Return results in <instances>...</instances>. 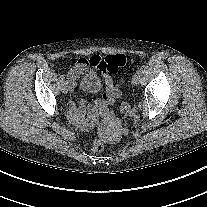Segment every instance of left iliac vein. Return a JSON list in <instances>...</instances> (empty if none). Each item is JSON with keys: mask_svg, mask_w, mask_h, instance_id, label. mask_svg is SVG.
<instances>
[{"mask_svg": "<svg viewBox=\"0 0 207 207\" xmlns=\"http://www.w3.org/2000/svg\"><path fill=\"white\" fill-rule=\"evenodd\" d=\"M139 82H140V75L136 73L132 77V84L136 86L139 84Z\"/></svg>", "mask_w": 207, "mask_h": 207, "instance_id": "obj_1", "label": "left iliac vein"}]
</instances>
